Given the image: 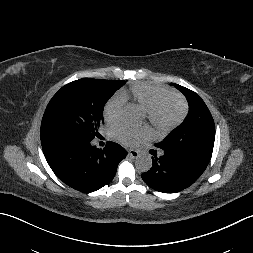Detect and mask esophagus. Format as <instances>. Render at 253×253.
<instances>
[{
    "label": "esophagus",
    "mask_w": 253,
    "mask_h": 253,
    "mask_svg": "<svg viewBox=\"0 0 253 253\" xmlns=\"http://www.w3.org/2000/svg\"><path fill=\"white\" fill-rule=\"evenodd\" d=\"M128 155L131 157V158H137L139 156V152L136 151V150H133V149H130L128 151Z\"/></svg>",
    "instance_id": "1"
}]
</instances>
